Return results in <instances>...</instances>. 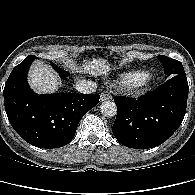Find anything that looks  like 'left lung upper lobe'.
Segmentation results:
<instances>
[{"label": "left lung upper lobe", "instance_id": "left-lung-upper-lobe-1", "mask_svg": "<svg viewBox=\"0 0 195 195\" xmlns=\"http://www.w3.org/2000/svg\"><path fill=\"white\" fill-rule=\"evenodd\" d=\"M158 59L162 62V65L164 67V73L168 77L176 74H185L183 65L180 61L169 58L164 55H159Z\"/></svg>", "mask_w": 195, "mask_h": 195}]
</instances>
